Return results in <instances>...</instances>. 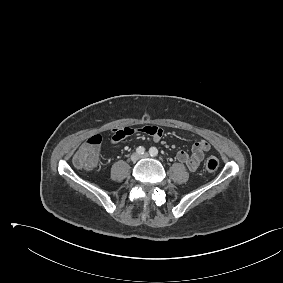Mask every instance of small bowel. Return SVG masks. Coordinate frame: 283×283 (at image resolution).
Instances as JSON below:
<instances>
[{
	"mask_svg": "<svg viewBox=\"0 0 283 283\" xmlns=\"http://www.w3.org/2000/svg\"><path fill=\"white\" fill-rule=\"evenodd\" d=\"M141 132L153 137L155 141L161 139L163 130L159 126H145L140 129ZM135 133V130L129 127H117L112 130L110 139L111 144H118L126 137ZM210 143L205 139L197 140L191 150V153L181 150L177 152L176 158L184 164L190 171H195L202 163L205 153L210 150Z\"/></svg>",
	"mask_w": 283,
	"mask_h": 283,
	"instance_id": "obj_1",
	"label": "small bowel"
}]
</instances>
